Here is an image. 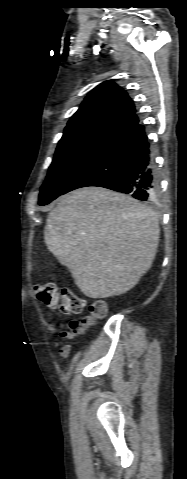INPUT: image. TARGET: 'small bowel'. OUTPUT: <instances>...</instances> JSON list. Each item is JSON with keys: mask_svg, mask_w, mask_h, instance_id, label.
Listing matches in <instances>:
<instances>
[{"mask_svg": "<svg viewBox=\"0 0 187 479\" xmlns=\"http://www.w3.org/2000/svg\"><path fill=\"white\" fill-rule=\"evenodd\" d=\"M72 351H73V346L72 345H69V344L64 345L59 350V356L62 360H64L67 357H69V355L71 354Z\"/></svg>", "mask_w": 187, "mask_h": 479, "instance_id": "small-bowel-1", "label": "small bowel"}]
</instances>
